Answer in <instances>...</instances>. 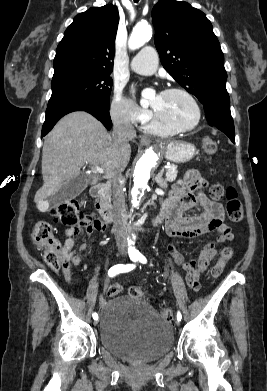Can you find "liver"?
Returning a JSON list of instances; mask_svg holds the SVG:
<instances>
[{"label":"liver","mask_w":267,"mask_h":391,"mask_svg":"<svg viewBox=\"0 0 267 391\" xmlns=\"http://www.w3.org/2000/svg\"><path fill=\"white\" fill-rule=\"evenodd\" d=\"M131 148L115 144L114 138L92 115L75 111L64 116L47 136L42 149L43 186L34 201L39 206L63 184L80 175L84 163L105 170L104 178L121 173L130 160ZM99 177H93L97 183Z\"/></svg>","instance_id":"1"}]
</instances>
